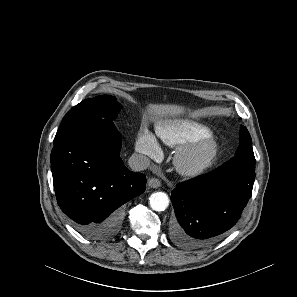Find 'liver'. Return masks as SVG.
<instances>
[{"instance_id":"liver-1","label":"liver","mask_w":297,"mask_h":297,"mask_svg":"<svg viewBox=\"0 0 297 297\" xmlns=\"http://www.w3.org/2000/svg\"><path fill=\"white\" fill-rule=\"evenodd\" d=\"M148 114L155 118L164 116H176L184 112V108L177 105L169 104H151L149 105Z\"/></svg>"}]
</instances>
